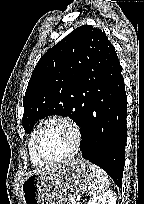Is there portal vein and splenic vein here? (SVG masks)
<instances>
[{
  "mask_svg": "<svg viewBox=\"0 0 144 204\" xmlns=\"http://www.w3.org/2000/svg\"><path fill=\"white\" fill-rule=\"evenodd\" d=\"M72 204H75L74 200L72 201Z\"/></svg>",
  "mask_w": 144,
  "mask_h": 204,
  "instance_id": "1",
  "label": "portal vein and splenic vein"
}]
</instances>
